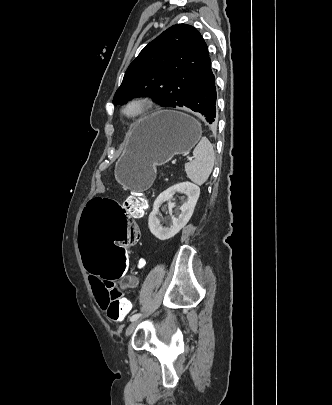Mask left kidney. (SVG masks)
I'll use <instances>...</instances> for the list:
<instances>
[{
	"mask_svg": "<svg viewBox=\"0 0 332 405\" xmlns=\"http://www.w3.org/2000/svg\"><path fill=\"white\" fill-rule=\"evenodd\" d=\"M177 192L185 194L187 200L179 207L180 215L176 218L172 216V209L176 206L172 202L173 195ZM200 188L190 182H182L171 186L162 192L153 204V210L149 215L148 226L150 232L159 240H167L175 236L190 220L197 200L199 198ZM168 202V210L171 218L170 227H163L159 218V208L163 202Z\"/></svg>",
	"mask_w": 332,
	"mask_h": 405,
	"instance_id": "5707ae66",
	"label": "left kidney"
}]
</instances>
